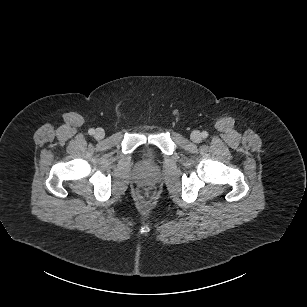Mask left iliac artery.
<instances>
[{
	"mask_svg": "<svg viewBox=\"0 0 307 307\" xmlns=\"http://www.w3.org/2000/svg\"><path fill=\"white\" fill-rule=\"evenodd\" d=\"M202 137H203V138H207V137H208V132L203 131V132H202Z\"/></svg>",
	"mask_w": 307,
	"mask_h": 307,
	"instance_id": "1",
	"label": "left iliac artery"
}]
</instances>
